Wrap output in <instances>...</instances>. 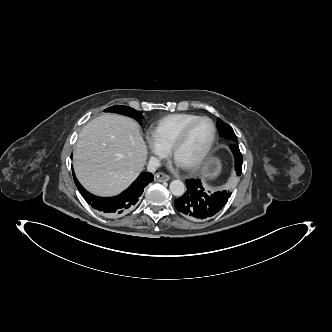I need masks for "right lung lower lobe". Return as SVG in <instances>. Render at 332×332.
Listing matches in <instances>:
<instances>
[{
	"label": "right lung lower lobe",
	"mask_w": 332,
	"mask_h": 332,
	"mask_svg": "<svg viewBox=\"0 0 332 332\" xmlns=\"http://www.w3.org/2000/svg\"><path fill=\"white\" fill-rule=\"evenodd\" d=\"M73 177L79 192L86 202L94 209L110 217H115L131 211L138 202L139 197L142 195L144 188L153 181V175L151 173H142L129 186V188L123 191L120 195L114 197H98L89 193L82 187L74 172Z\"/></svg>",
	"instance_id": "right-lung-lower-lobe-1"
}]
</instances>
